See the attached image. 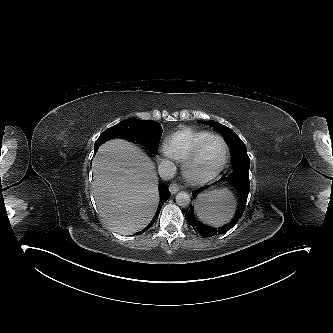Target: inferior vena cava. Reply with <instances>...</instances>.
<instances>
[{"instance_id": "obj_1", "label": "inferior vena cava", "mask_w": 333, "mask_h": 333, "mask_svg": "<svg viewBox=\"0 0 333 333\" xmlns=\"http://www.w3.org/2000/svg\"><path fill=\"white\" fill-rule=\"evenodd\" d=\"M158 173L163 180H169L176 173V166L172 161L162 159L158 166Z\"/></svg>"}]
</instances>
